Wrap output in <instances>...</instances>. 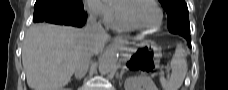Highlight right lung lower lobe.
<instances>
[{"instance_id": "98d812e1", "label": "right lung lower lobe", "mask_w": 228, "mask_h": 90, "mask_svg": "<svg viewBox=\"0 0 228 90\" xmlns=\"http://www.w3.org/2000/svg\"><path fill=\"white\" fill-rule=\"evenodd\" d=\"M34 22L82 27L86 13L82 8H70L59 0H39L34 6Z\"/></svg>"}]
</instances>
